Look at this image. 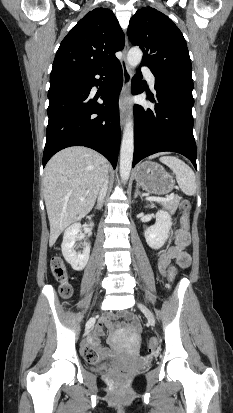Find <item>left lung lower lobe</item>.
<instances>
[{
	"instance_id": "1",
	"label": "left lung lower lobe",
	"mask_w": 233,
	"mask_h": 413,
	"mask_svg": "<svg viewBox=\"0 0 233 413\" xmlns=\"http://www.w3.org/2000/svg\"><path fill=\"white\" fill-rule=\"evenodd\" d=\"M143 65V64H142ZM138 76L141 71L138 69ZM156 95L148 94L154 110L135 105L133 166L157 152L172 151L187 157L196 167V143L193 136L192 90L155 75ZM134 94L144 91L139 80L132 84Z\"/></svg>"
}]
</instances>
